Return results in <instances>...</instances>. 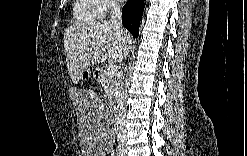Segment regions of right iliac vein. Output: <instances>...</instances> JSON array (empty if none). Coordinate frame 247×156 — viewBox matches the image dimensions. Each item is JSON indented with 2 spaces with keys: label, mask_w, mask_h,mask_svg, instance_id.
Here are the masks:
<instances>
[{
  "label": "right iliac vein",
  "mask_w": 247,
  "mask_h": 156,
  "mask_svg": "<svg viewBox=\"0 0 247 156\" xmlns=\"http://www.w3.org/2000/svg\"><path fill=\"white\" fill-rule=\"evenodd\" d=\"M122 151H123V152H125V151H126V150H125V147H122Z\"/></svg>",
  "instance_id": "right-iliac-vein-1"
}]
</instances>
